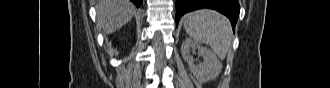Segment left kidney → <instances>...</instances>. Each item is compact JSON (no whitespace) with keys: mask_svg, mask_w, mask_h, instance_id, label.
<instances>
[{"mask_svg":"<svg viewBox=\"0 0 330 88\" xmlns=\"http://www.w3.org/2000/svg\"><path fill=\"white\" fill-rule=\"evenodd\" d=\"M191 49H197L198 55L203 57V62L200 65H195ZM181 53L183 59L188 63L190 71L200 82H208L218 77L222 70V63L216 55L208 48L203 47L197 41L187 38L182 42Z\"/></svg>","mask_w":330,"mask_h":88,"instance_id":"left-kidney-1","label":"left kidney"}]
</instances>
